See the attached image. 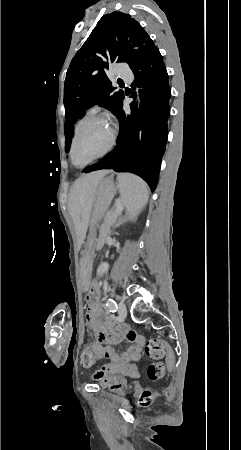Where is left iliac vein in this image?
I'll list each match as a JSON object with an SVG mask.
<instances>
[{
  "instance_id": "4c4485c4",
  "label": "left iliac vein",
  "mask_w": 241,
  "mask_h": 450,
  "mask_svg": "<svg viewBox=\"0 0 241 450\" xmlns=\"http://www.w3.org/2000/svg\"><path fill=\"white\" fill-rule=\"evenodd\" d=\"M118 314L120 316V319H124L127 315V309L124 302H119L118 304Z\"/></svg>"
}]
</instances>
